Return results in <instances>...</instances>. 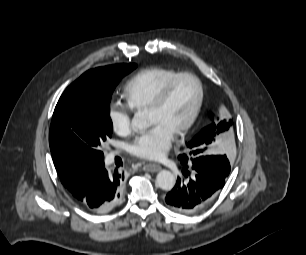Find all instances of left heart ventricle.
<instances>
[{
    "mask_svg": "<svg viewBox=\"0 0 306 255\" xmlns=\"http://www.w3.org/2000/svg\"><path fill=\"white\" fill-rule=\"evenodd\" d=\"M198 96L197 83L190 77L181 78L172 88L162 107L148 111L150 123L160 124L174 135L192 115Z\"/></svg>",
    "mask_w": 306,
    "mask_h": 255,
    "instance_id": "b2bd125f",
    "label": "left heart ventricle"
}]
</instances>
